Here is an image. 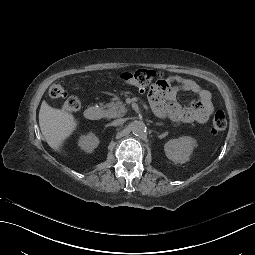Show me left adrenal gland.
I'll use <instances>...</instances> for the list:
<instances>
[{
    "mask_svg": "<svg viewBox=\"0 0 255 255\" xmlns=\"http://www.w3.org/2000/svg\"><path fill=\"white\" fill-rule=\"evenodd\" d=\"M156 125L160 126V125H163L162 123H156Z\"/></svg>",
    "mask_w": 255,
    "mask_h": 255,
    "instance_id": "a2214340",
    "label": "left adrenal gland"
}]
</instances>
